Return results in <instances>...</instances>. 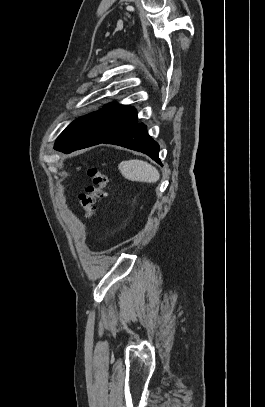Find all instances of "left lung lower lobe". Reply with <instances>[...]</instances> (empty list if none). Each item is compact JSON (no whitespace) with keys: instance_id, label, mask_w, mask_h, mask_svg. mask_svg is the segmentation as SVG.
<instances>
[{"instance_id":"0a47b994","label":"left lung lower lobe","mask_w":265,"mask_h":407,"mask_svg":"<svg viewBox=\"0 0 265 407\" xmlns=\"http://www.w3.org/2000/svg\"><path fill=\"white\" fill-rule=\"evenodd\" d=\"M101 143L119 145L135 151L145 153L153 160L160 163L158 157L159 145L148 135L147 127L143 123H137L136 121L132 125L119 131L118 133L114 134L113 136H111L110 138ZM82 148L86 147L77 148L66 146L65 148H62L61 151L64 153H70L72 151Z\"/></svg>"}]
</instances>
